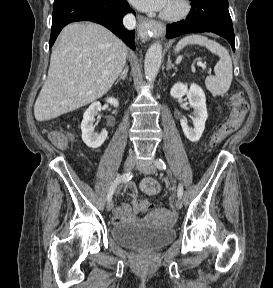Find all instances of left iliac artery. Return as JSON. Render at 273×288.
Here are the masks:
<instances>
[{
	"instance_id": "44dca946",
	"label": "left iliac artery",
	"mask_w": 273,
	"mask_h": 288,
	"mask_svg": "<svg viewBox=\"0 0 273 288\" xmlns=\"http://www.w3.org/2000/svg\"><path fill=\"white\" fill-rule=\"evenodd\" d=\"M155 165L160 170H165L166 169V164H165V162L162 159H157L155 161ZM177 195H178L179 198H181L182 195H183V186L181 184L178 185Z\"/></svg>"
}]
</instances>
